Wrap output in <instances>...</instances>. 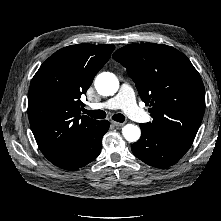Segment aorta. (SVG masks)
Masks as SVG:
<instances>
[{"label": "aorta", "instance_id": "aorta-1", "mask_svg": "<svg viewBox=\"0 0 221 221\" xmlns=\"http://www.w3.org/2000/svg\"><path fill=\"white\" fill-rule=\"evenodd\" d=\"M95 88L100 95L111 96L118 91L119 81L113 73L103 72L96 77ZM122 134L127 141L136 142L141 136V130L136 125L127 124L123 127Z\"/></svg>", "mask_w": 221, "mask_h": 221}]
</instances>
